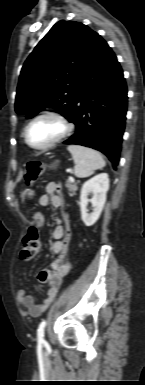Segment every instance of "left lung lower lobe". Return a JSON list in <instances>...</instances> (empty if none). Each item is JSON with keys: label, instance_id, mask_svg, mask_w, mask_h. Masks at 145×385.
<instances>
[{"label": "left lung lower lobe", "instance_id": "left-lung-lower-lobe-1", "mask_svg": "<svg viewBox=\"0 0 145 385\" xmlns=\"http://www.w3.org/2000/svg\"><path fill=\"white\" fill-rule=\"evenodd\" d=\"M127 111V86L117 58L100 35L80 79L71 122L75 134L65 144H78L104 153L118 165Z\"/></svg>", "mask_w": 145, "mask_h": 385}]
</instances>
